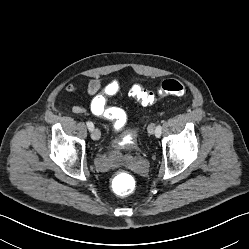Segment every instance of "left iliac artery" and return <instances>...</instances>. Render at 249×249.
I'll use <instances>...</instances> for the list:
<instances>
[{"instance_id":"obj_1","label":"left iliac artery","mask_w":249,"mask_h":249,"mask_svg":"<svg viewBox=\"0 0 249 249\" xmlns=\"http://www.w3.org/2000/svg\"><path fill=\"white\" fill-rule=\"evenodd\" d=\"M161 132H162V126L161 125H157L156 129H155V136L157 138H159L161 136Z\"/></svg>"}]
</instances>
